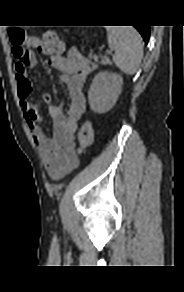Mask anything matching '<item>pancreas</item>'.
Returning a JSON list of instances; mask_svg holds the SVG:
<instances>
[{"label":"pancreas","instance_id":"pancreas-1","mask_svg":"<svg viewBox=\"0 0 184 292\" xmlns=\"http://www.w3.org/2000/svg\"><path fill=\"white\" fill-rule=\"evenodd\" d=\"M89 58L94 59L95 62H99L98 60L99 57L95 54L93 55L92 53H89ZM100 63L103 65H107V64H110V60L106 56H104V57H101Z\"/></svg>","mask_w":184,"mask_h":292}]
</instances>
